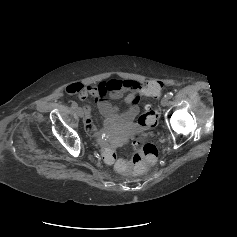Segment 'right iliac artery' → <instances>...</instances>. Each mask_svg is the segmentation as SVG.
<instances>
[{"label": "right iliac artery", "instance_id": "right-iliac-artery-1", "mask_svg": "<svg viewBox=\"0 0 237 237\" xmlns=\"http://www.w3.org/2000/svg\"><path fill=\"white\" fill-rule=\"evenodd\" d=\"M71 107L73 109H76L78 107V104L76 102H72Z\"/></svg>", "mask_w": 237, "mask_h": 237}]
</instances>
